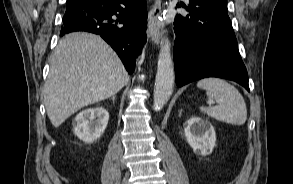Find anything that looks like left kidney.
Listing matches in <instances>:
<instances>
[{
    "label": "left kidney",
    "mask_w": 293,
    "mask_h": 184,
    "mask_svg": "<svg viewBox=\"0 0 293 184\" xmlns=\"http://www.w3.org/2000/svg\"><path fill=\"white\" fill-rule=\"evenodd\" d=\"M184 133L194 152L201 155L212 153L216 142V133L211 123L201 117H191L185 122Z\"/></svg>",
    "instance_id": "5707ae66"
}]
</instances>
